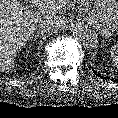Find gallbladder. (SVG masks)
I'll list each match as a JSON object with an SVG mask.
<instances>
[{"label":"gallbladder","instance_id":"bac80fb5","mask_svg":"<svg viewBox=\"0 0 118 118\" xmlns=\"http://www.w3.org/2000/svg\"><path fill=\"white\" fill-rule=\"evenodd\" d=\"M21 1H23V0H21ZM28 8H29V6H27V5L26 6H23V10L24 11H26Z\"/></svg>","mask_w":118,"mask_h":118}]
</instances>
